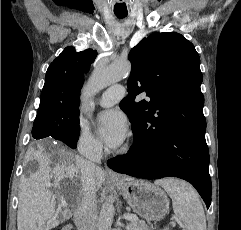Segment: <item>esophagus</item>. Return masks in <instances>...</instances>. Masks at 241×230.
<instances>
[{"label": "esophagus", "instance_id": "1", "mask_svg": "<svg viewBox=\"0 0 241 230\" xmlns=\"http://www.w3.org/2000/svg\"><path fill=\"white\" fill-rule=\"evenodd\" d=\"M106 172L109 176H117V174L108 167H106Z\"/></svg>", "mask_w": 241, "mask_h": 230}]
</instances>
